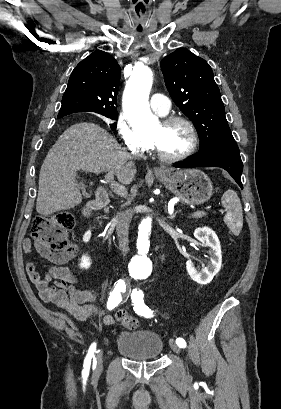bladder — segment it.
I'll return each mask as SVG.
<instances>
[{"instance_id": "bladder-1", "label": "bladder", "mask_w": 281, "mask_h": 409, "mask_svg": "<svg viewBox=\"0 0 281 409\" xmlns=\"http://www.w3.org/2000/svg\"><path fill=\"white\" fill-rule=\"evenodd\" d=\"M114 348L127 360L151 362L161 358L164 338L152 329H120Z\"/></svg>"}]
</instances>
